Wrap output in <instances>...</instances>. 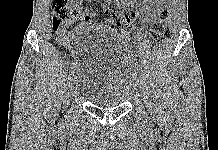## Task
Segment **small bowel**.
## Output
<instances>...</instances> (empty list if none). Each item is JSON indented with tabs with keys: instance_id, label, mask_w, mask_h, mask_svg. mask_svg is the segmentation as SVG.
I'll return each instance as SVG.
<instances>
[{
	"instance_id": "small-bowel-1",
	"label": "small bowel",
	"mask_w": 218,
	"mask_h": 150,
	"mask_svg": "<svg viewBox=\"0 0 218 150\" xmlns=\"http://www.w3.org/2000/svg\"><path fill=\"white\" fill-rule=\"evenodd\" d=\"M91 1L93 0H72L70 19L62 23L56 34L59 44L71 48L74 41L85 32L90 30L109 32L106 24L92 21L93 13L85 5ZM110 3L125 8L124 11H120L124 16L123 28L132 31L136 17H139L143 23L154 21L167 6L168 0H105L102 7L106 13L109 12ZM79 19H81L79 25L70 30L71 24Z\"/></svg>"
}]
</instances>
